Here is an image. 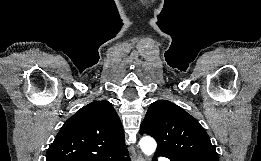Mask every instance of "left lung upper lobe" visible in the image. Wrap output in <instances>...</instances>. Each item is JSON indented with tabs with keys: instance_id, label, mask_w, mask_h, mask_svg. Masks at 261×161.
<instances>
[{
	"instance_id": "5c2ea615",
	"label": "left lung upper lobe",
	"mask_w": 261,
	"mask_h": 161,
	"mask_svg": "<svg viewBox=\"0 0 261 161\" xmlns=\"http://www.w3.org/2000/svg\"><path fill=\"white\" fill-rule=\"evenodd\" d=\"M144 133L157 141L156 153L171 161H219L216 147L199 122L170 101L150 105L140 129Z\"/></svg>"
}]
</instances>
